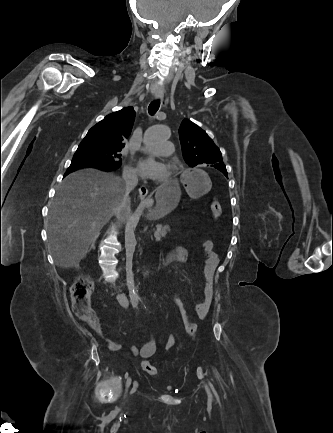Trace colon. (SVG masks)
Returning a JSON list of instances; mask_svg holds the SVG:
<instances>
[{"label": "colon", "instance_id": "obj_1", "mask_svg": "<svg viewBox=\"0 0 333 433\" xmlns=\"http://www.w3.org/2000/svg\"><path fill=\"white\" fill-rule=\"evenodd\" d=\"M211 213L215 219L219 218L222 213L221 204L214 199L211 203ZM94 288L93 281L89 276L82 275L76 278L71 286V298L73 302L74 313L83 321L88 323H93L96 320V316L91 308L90 299ZM179 291L176 289L172 293V299L170 302L174 303L177 308H179L178 314L181 316L184 322V329L191 330V336L195 337L197 335V330H199V325H197V320H191L189 315V310H185L183 307V302L180 297H177ZM142 368L150 375L157 374V369L148 360L142 362Z\"/></svg>", "mask_w": 333, "mask_h": 433}]
</instances>
